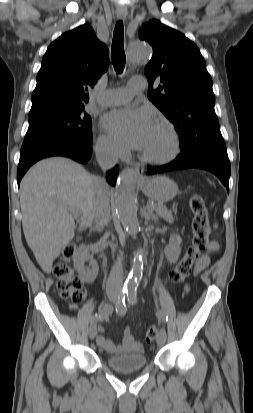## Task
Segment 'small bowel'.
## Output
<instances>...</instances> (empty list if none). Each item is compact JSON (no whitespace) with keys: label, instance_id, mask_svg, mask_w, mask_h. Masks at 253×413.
Masks as SVG:
<instances>
[{"label":"small bowel","instance_id":"c3829d8e","mask_svg":"<svg viewBox=\"0 0 253 413\" xmlns=\"http://www.w3.org/2000/svg\"><path fill=\"white\" fill-rule=\"evenodd\" d=\"M218 250V244L216 242H211L206 250V253L202 255L200 260L198 261L195 272L198 273L205 269L210 263V256L216 253ZM186 289L183 291L185 296H188L192 289L187 285ZM70 309L73 311L77 310L76 305H71ZM110 312L109 306H104L101 309V317H105ZM100 334L97 336V344L102 347L105 351L109 353H123L127 351L138 352L142 350V345L134 338L133 334L131 333L130 327H127L123 337V344L116 345L113 341L106 338L102 333L104 332V327H99Z\"/></svg>","mask_w":253,"mask_h":413}]
</instances>
